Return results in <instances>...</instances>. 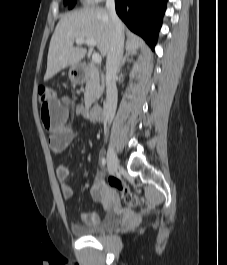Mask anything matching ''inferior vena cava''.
Listing matches in <instances>:
<instances>
[{
  "label": "inferior vena cava",
  "mask_w": 227,
  "mask_h": 265,
  "mask_svg": "<svg viewBox=\"0 0 227 265\" xmlns=\"http://www.w3.org/2000/svg\"><path fill=\"white\" fill-rule=\"evenodd\" d=\"M106 9L109 12L112 21V41L111 47L107 55L106 61V120L108 123L113 121L117 106V88H116V74L119 69L123 48H124V34L122 29V22L116 14L115 1L106 0Z\"/></svg>",
  "instance_id": "inferior-vena-cava-1"
}]
</instances>
